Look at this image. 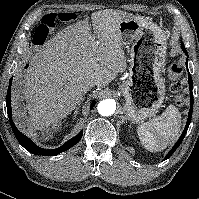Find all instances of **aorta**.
Returning a JSON list of instances; mask_svg holds the SVG:
<instances>
[{"label":"aorta","instance_id":"762f6f07","mask_svg":"<svg viewBox=\"0 0 199 199\" xmlns=\"http://www.w3.org/2000/svg\"><path fill=\"white\" fill-rule=\"evenodd\" d=\"M116 105L111 100H103L98 104V112L102 116H110L114 113Z\"/></svg>","mask_w":199,"mask_h":199}]
</instances>
